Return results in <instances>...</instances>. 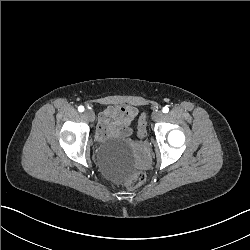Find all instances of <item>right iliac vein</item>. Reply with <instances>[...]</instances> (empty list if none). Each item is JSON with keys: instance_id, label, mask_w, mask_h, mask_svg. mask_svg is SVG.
Masks as SVG:
<instances>
[{"instance_id": "obj_1", "label": "right iliac vein", "mask_w": 250, "mask_h": 250, "mask_svg": "<svg viewBox=\"0 0 250 250\" xmlns=\"http://www.w3.org/2000/svg\"><path fill=\"white\" fill-rule=\"evenodd\" d=\"M83 116L90 120V121H93L94 120V113L90 110H86L84 113H83Z\"/></svg>"}]
</instances>
